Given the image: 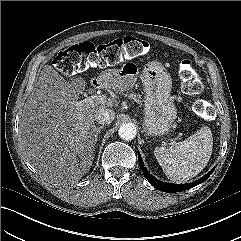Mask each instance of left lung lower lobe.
<instances>
[{"label": "left lung lower lobe", "mask_w": 241, "mask_h": 241, "mask_svg": "<svg viewBox=\"0 0 241 241\" xmlns=\"http://www.w3.org/2000/svg\"><path fill=\"white\" fill-rule=\"evenodd\" d=\"M138 161H139V166L142 169V172L144 176L147 178V180L158 190H161L163 192H168V193H175V192H181L187 189L192 188L193 186H196L203 181H205L214 171L215 167L207 173L204 177L200 178L199 180H196L192 183H187V184H172V183H165L162 181L157 180L155 177H153L144 167L143 161L141 156L138 154Z\"/></svg>", "instance_id": "1"}]
</instances>
